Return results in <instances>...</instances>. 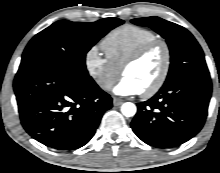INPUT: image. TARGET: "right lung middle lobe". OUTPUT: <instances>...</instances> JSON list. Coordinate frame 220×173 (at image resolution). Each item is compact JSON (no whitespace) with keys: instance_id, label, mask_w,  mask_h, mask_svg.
<instances>
[{"instance_id":"obj_1","label":"right lung middle lobe","mask_w":220,"mask_h":173,"mask_svg":"<svg viewBox=\"0 0 220 173\" xmlns=\"http://www.w3.org/2000/svg\"><path fill=\"white\" fill-rule=\"evenodd\" d=\"M118 18L96 22L60 20L35 35L25 48L19 68H54L73 77L89 76L86 53L113 28L123 24Z\"/></svg>"}]
</instances>
